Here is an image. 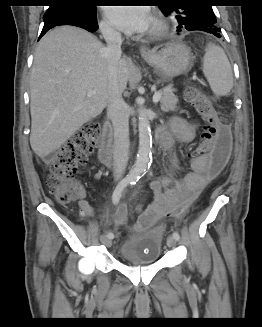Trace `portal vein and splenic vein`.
Instances as JSON below:
<instances>
[{
    "instance_id": "1",
    "label": "portal vein and splenic vein",
    "mask_w": 262,
    "mask_h": 327,
    "mask_svg": "<svg viewBox=\"0 0 262 327\" xmlns=\"http://www.w3.org/2000/svg\"><path fill=\"white\" fill-rule=\"evenodd\" d=\"M166 90H171V87L166 88ZM87 95H88V96H91V95H92V92L89 91ZM160 98H161V92H156V93L153 95V102H154V103H158L159 100H160Z\"/></svg>"
}]
</instances>
